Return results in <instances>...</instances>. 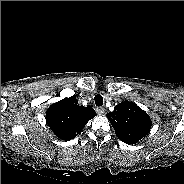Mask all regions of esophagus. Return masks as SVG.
<instances>
[{
	"label": "esophagus",
	"instance_id": "obj_1",
	"mask_svg": "<svg viewBox=\"0 0 184 184\" xmlns=\"http://www.w3.org/2000/svg\"><path fill=\"white\" fill-rule=\"evenodd\" d=\"M96 112H97L99 115H103V114H104V108H103V107H97V108H96Z\"/></svg>",
	"mask_w": 184,
	"mask_h": 184
}]
</instances>
